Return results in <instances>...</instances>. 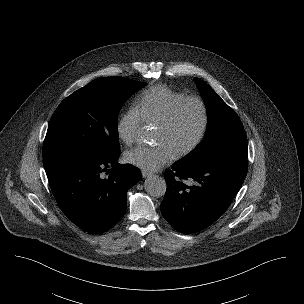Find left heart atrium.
Listing matches in <instances>:
<instances>
[{"label":"left heart atrium","instance_id":"left-heart-atrium-1","mask_svg":"<svg viewBox=\"0 0 304 304\" xmlns=\"http://www.w3.org/2000/svg\"><path fill=\"white\" fill-rule=\"evenodd\" d=\"M174 156L175 151L166 144H158L154 147L138 146L125 153V161L144 171H155Z\"/></svg>","mask_w":304,"mask_h":304}]
</instances>
